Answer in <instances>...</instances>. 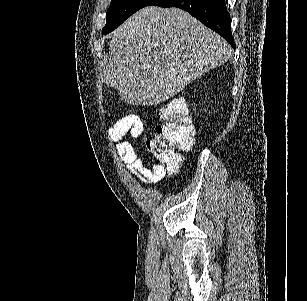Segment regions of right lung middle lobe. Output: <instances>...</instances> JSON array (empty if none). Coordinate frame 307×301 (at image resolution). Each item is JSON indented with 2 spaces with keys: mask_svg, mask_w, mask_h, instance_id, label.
<instances>
[{
  "mask_svg": "<svg viewBox=\"0 0 307 301\" xmlns=\"http://www.w3.org/2000/svg\"><path fill=\"white\" fill-rule=\"evenodd\" d=\"M156 0H112L106 13V25L103 34L116 29L128 17L139 9L151 5Z\"/></svg>",
  "mask_w": 307,
  "mask_h": 301,
  "instance_id": "1",
  "label": "right lung middle lobe"
}]
</instances>
